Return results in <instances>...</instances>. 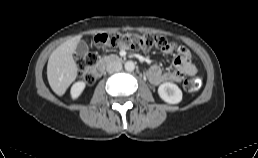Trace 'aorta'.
<instances>
[{"mask_svg":"<svg viewBox=\"0 0 258 158\" xmlns=\"http://www.w3.org/2000/svg\"><path fill=\"white\" fill-rule=\"evenodd\" d=\"M124 67L126 71H133L135 69V64L133 61H127Z\"/></svg>","mask_w":258,"mask_h":158,"instance_id":"1","label":"aorta"}]
</instances>
